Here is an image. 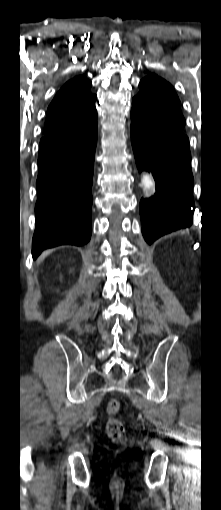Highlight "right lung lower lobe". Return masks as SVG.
Here are the masks:
<instances>
[{
	"label": "right lung lower lobe",
	"instance_id": "98d812e1",
	"mask_svg": "<svg viewBox=\"0 0 221 510\" xmlns=\"http://www.w3.org/2000/svg\"><path fill=\"white\" fill-rule=\"evenodd\" d=\"M97 133L96 117L76 133L40 142L34 258L47 248L89 241Z\"/></svg>",
	"mask_w": 221,
	"mask_h": 510
}]
</instances>
